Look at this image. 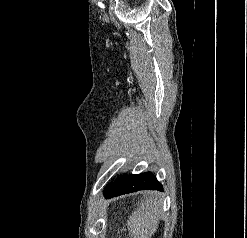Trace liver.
<instances>
[{"label":"liver","mask_w":247,"mask_h":238,"mask_svg":"<svg viewBox=\"0 0 247 238\" xmlns=\"http://www.w3.org/2000/svg\"><path fill=\"white\" fill-rule=\"evenodd\" d=\"M157 193L150 192L137 210L127 220L130 238H152L157 231L161 209Z\"/></svg>","instance_id":"liver-1"}]
</instances>
